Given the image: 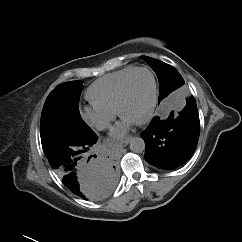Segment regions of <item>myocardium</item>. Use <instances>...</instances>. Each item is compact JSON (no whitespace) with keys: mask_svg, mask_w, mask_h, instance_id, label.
Wrapping results in <instances>:
<instances>
[{"mask_svg":"<svg viewBox=\"0 0 242 242\" xmlns=\"http://www.w3.org/2000/svg\"><path fill=\"white\" fill-rule=\"evenodd\" d=\"M138 72H147L152 79V83H153V93H152V99H151V103L148 109L147 114L139 121L135 122V124L137 125H143L146 124L147 122H149L152 117L154 116L155 113V109L157 106V101H158V82H157V78L155 73L147 68V67H138L135 68L132 72H130L127 77L124 79L120 90H119V94H118V98H117V104H116V112L119 116H122L121 114V107L125 101L126 95H127V90H128V86H129V82L131 80V78Z\"/></svg>","mask_w":242,"mask_h":242,"instance_id":"obj_1","label":"myocardium"}]
</instances>
